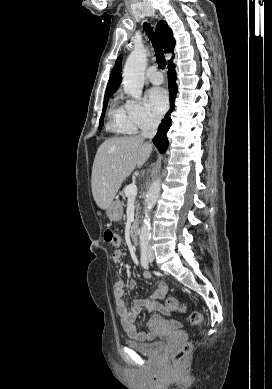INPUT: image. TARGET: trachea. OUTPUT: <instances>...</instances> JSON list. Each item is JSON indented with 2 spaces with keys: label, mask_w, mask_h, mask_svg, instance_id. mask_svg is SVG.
<instances>
[{
  "label": "trachea",
  "mask_w": 272,
  "mask_h": 389,
  "mask_svg": "<svg viewBox=\"0 0 272 389\" xmlns=\"http://www.w3.org/2000/svg\"><path fill=\"white\" fill-rule=\"evenodd\" d=\"M144 31L146 32V35L149 37L150 41L152 42L157 64L159 65L160 68H164L167 62L163 57V48L158 43L156 34L152 30L151 26L146 22L144 23Z\"/></svg>",
  "instance_id": "1"
}]
</instances>
